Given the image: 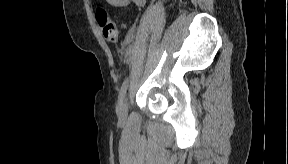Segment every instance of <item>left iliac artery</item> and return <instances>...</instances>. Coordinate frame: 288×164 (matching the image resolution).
<instances>
[{
  "instance_id": "obj_1",
  "label": "left iliac artery",
  "mask_w": 288,
  "mask_h": 164,
  "mask_svg": "<svg viewBox=\"0 0 288 164\" xmlns=\"http://www.w3.org/2000/svg\"><path fill=\"white\" fill-rule=\"evenodd\" d=\"M128 86H129V79H126L122 83L121 88H120V92H119V96H118V102L119 103H121L122 99L124 98V96L127 92Z\"/></svg>"
}]
</instances>
